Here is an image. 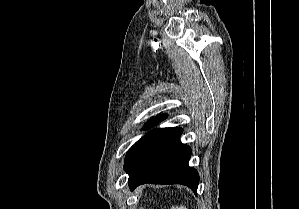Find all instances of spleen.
I'll return each instance as SVG.
<instances>
[{"instance_id":"1","label":"spleen","mask_w":299,"mask_h":209,"mask_svg":"<svg viewBox=\"0 0 299 209\" xmlns=\"http://www.w3.org/2000/svg\"><path fill=\"white\" fill-rule=\"evenodd\" d=\"M171 209H187L185 206H176V207H172Z\"/></svg>"}]
</instances>
